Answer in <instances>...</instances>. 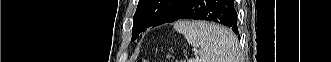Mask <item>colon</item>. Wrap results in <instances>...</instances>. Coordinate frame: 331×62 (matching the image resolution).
Listing matches in <instances>:
<instances>
[{
  "label": "colon",
  "mask_w": 331,
  "mask_h": 62,
  "mask_svg": "<svg viewBox=\"0 0 331 62\" xmlns=\"http://www.w3.org/2000/svg\"><path fill=\"white\" fill-rule=\"evenodd\" d=\"M137 62H148L146 59H139Z\"/></svg>",
  "instance_id": "colon-1"
}]
</instances>
